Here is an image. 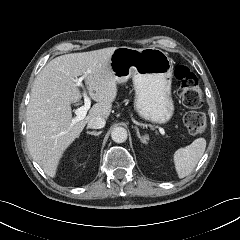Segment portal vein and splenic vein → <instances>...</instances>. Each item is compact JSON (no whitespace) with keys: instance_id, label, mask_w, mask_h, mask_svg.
I'll return each mask as SVG.
<instances>
[{"instance_id":"obj_1","label":"portal vein and splenic vein","mask_w":240,"mask_h":240,"mask_svg":"<svg viewBox=\"0 0 240 240\" xmlns=\"http://www.w3.org/2000/svg\"><path fill=\"white\" fill-rule=\"evenodd\" d=\"M85 77L86 75L76 79L75 85L84 88L82 81ZM83 97H84V105L75 110L76 117L72 119L71 126L83 120L86 117L87 111L90 109L91 101H90V98L87 96L86 91H84ZM158 129L162 135H165V130L162 127L159 126Z\"/></svg>"}]
</instances>
